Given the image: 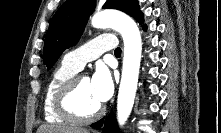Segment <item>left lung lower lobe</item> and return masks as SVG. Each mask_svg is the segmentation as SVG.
Returning a JSON list of instances; mask_svg holds the SVG:
<instances>
[{
  "instance_id": "1",
  "label": "left lung lower lobe",
  "mask_w": 221,
  "mask_h": 133,
  "mask_svg": "<svg viewBox=\"0 0 221 133\" xmlns=\"http://www.w3.org/2000/svg\"><path fill=\"white\" fill-rule=\"evenodd\" d=\"M143 29L146 30V25L143 26ZM91 126L97 128L104 126L103 133H117L116 117L113 113H110L106 119L103 118Z\"/></svg>"
}]
</instances>
